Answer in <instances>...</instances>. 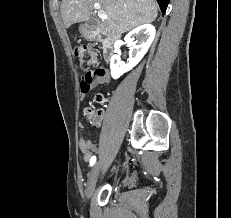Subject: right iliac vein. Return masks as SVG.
<instances>
[{
	"label": "right iliac vein",
	"mask_w": 231,
	"mask_h": 218,
	"mask_svg": "<svg viewBox=\"0 0 231 218\" xmlns=\"http://www.w3.org/2000/svg\"><path fill=\"white\" fill-rule=\"evenodd\" d=\"M99 172H100V163L97 162L93 168L91 169L90 173H89V177H88V181H87V186H86V190H85V196L87 199H89L94 190H95V186H96V182L99 176Z\"/></svg>",
	"instance_id": "63e3f726"
}]
</instances>
